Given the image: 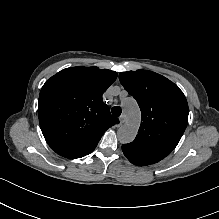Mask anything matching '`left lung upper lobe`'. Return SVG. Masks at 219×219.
Listing matches in <instances>:
<instances>
[{
  "label": "left lung upper lobe",
  "mask_w": 219,
  "mask_h": 219,
  "mask_svg": "<svg viewBox=\"0 0 219 219\" xmlns=\"http://www.w3.org/2000/svg\"><path fill=\"white\" fill-rule=\"evenodd\" d=\"M119 80L141 109L135 140L122 145L135 158L154 164L170 154L188 123V104L180 88L166 77L147 70L122 72Z\"/></svg>",
  "instance_id": "5c2ea615"
}]
</instances>
